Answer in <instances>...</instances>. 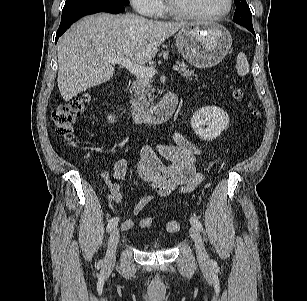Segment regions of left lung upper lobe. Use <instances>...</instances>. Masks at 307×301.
<instances>
[{
	"label": "left lung upper lobe",
	"mask_w": 307,
	"mask_h": 301,
	"mask_svg": "<svg viewBox=\"0 0 307 301\" xmlns=\"http://www.w3.org/2000/svg\"><path fill=\"white\" fill-rule=\"evenodd\" d=\"M236 10L233 21L242 26H252V13L246 0H234Z\"/></svg>",
	"instance_id": "left-lung-upper-lobe-1"
}]
</instances>
